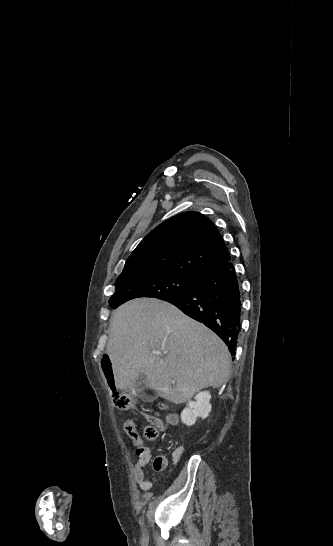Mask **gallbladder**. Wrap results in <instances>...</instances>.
Listing matches in <instances>:
<instances>
[{
  "label": "gallbladder",
  "mask_w": 333,
  "mask_h": 546,
  "mask_svg": "<svg viewBox=\"0 0 333 546\" xmlns=\"http://www.w3.org/2000/svg\"><path fill=\"white\" fill-rule=\"evenodd\" d=\"M148 389L147 387V376L145 374H140L137 379L134 386V391L136 395L142 399V400H152V396H149L145 393V391Z\"/></svg>",
  "instance_id": "1"
}]
</instances>
